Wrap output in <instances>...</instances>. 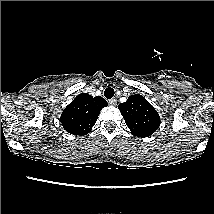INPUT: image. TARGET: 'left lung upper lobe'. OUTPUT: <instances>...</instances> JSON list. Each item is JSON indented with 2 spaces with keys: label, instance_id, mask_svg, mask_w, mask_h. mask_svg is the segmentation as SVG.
Here are the masks:
<instances>
[{
  "label": "left lung upper lobe",
  "instance_id": "obj_1",
  "mask_svg": "<svg viewBox=\"0 0 214 214\" xmlns=\"http://www.w3.org/2000/svg\"><path fill=\"white\" fill-rule=\"evenodd\" d=\"M118 108L131 133L137 137H149L160 126V117L155 108L140 94L129 96Z\"/></svg>",
  "mask_w": 214,
  "mask_h": 214
}]
</instances>
